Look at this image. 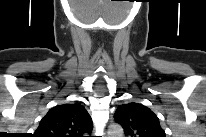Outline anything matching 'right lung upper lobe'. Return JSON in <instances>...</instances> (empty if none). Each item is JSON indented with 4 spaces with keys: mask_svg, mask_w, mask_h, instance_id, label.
Masks as SVG:
<instances>
[{
    "mask_svg": "<svg viewBox=\"0 0 206 137\" xmlns=\"http://www.w3.org/2000/svg\"><path fill=\"white\" fill-rule=\"evenodd\" d=\"M92 119L80 103L53 107L35 131L38 137H82L92 131Z\"/></svg>",
    "mask_w": 206,
    "mask_h": 137,
    "instance_id": "cb5924a9",
    "label": "right lung upper lobe"
}]
</instances>
